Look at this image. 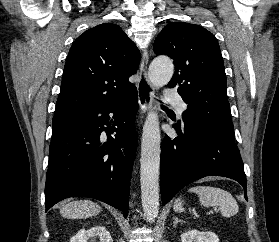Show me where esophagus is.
<instances>
[{
	"label": "esophagus",
	"mask_w": 279,
	"mask_h": 242,
	"mask_svg": "<svg viewBox=\"0 0 279 242\" xmlns=\"http://www.w3.org/2000/svg\"><path fill=\"white\" fill-rule=\"evenodd\" d=\"M148 51H144L142 56V61L139 70V80L137 84L138 90V104H139V117L142 118L143 115L148 111L152 101V95L154 92L153 85L148 79L147 75V65H148Z\"/></svg>",
	"instance_id": "34e87169"
}]
</instances>
